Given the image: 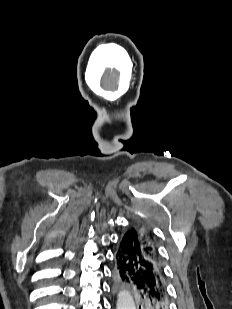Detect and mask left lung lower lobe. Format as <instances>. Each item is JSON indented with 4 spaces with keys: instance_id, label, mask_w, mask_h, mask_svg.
<instances>
[{
    "instance_id": "obj_1",
    "label": "left lung lower lobe",
    "mask_w": 232,
    "mask_h": 309,
    "mask_svg": "<svg viewBox=\"0 0 232 309\" xmlns=\"http://www.w3.org/2000/svg\"><path fill=\"white\" fill-rule=\"evenodd\" d=\"M131 227L122 234L115 251V279L133 290L138 309H168L163 268L144 252Z\"/></svg>"
}]
</instances>
